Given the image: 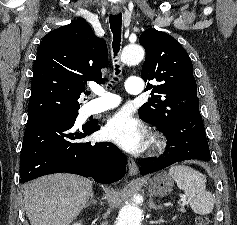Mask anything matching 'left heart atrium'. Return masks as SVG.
Returning <instances> with one entry per match:
<instances>
[{
    "instance_id": "1",
    "label": "left heart atrium",
    "mask_w": 237,
    "mask_h": 225,
    "mask_svg": "<svg viewBox=\"0 0 237 225\" xmlns=\"http://www.w3.org/2000/svg\"><path fill=\"white\" fill-rule=\"evenodd\" d=\"M104 134L108 140L129 152H138L146 145L145 128L126 110L119 111L108 120Z\"/></svg>"
}]
</instances>
